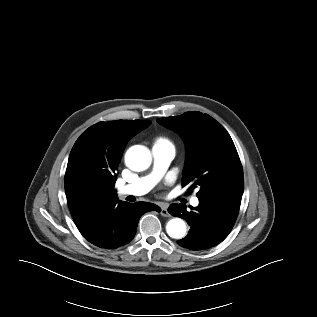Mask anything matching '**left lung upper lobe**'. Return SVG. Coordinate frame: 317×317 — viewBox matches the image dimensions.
Returning <instances> with one entry per match:
<instances>
[{"label": "left lung upper lobe", "mask_w": 317, "mask_h": 317, "mask_svg": "<svg viewBox=\"0 0 317 317\" xmlns=\"http://www.w3.org/2000/svg\"><path fill=\"white\" fill-rule=\"evenodd\" d=\"M178 132L186 143L182 186L199 189L197 197L242 195L244 177L235 145L224 127L201 112L157 119Z\"/></svg>", "instance_id": "left-lung-upper-lobe-1"}]
</instances>
